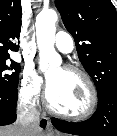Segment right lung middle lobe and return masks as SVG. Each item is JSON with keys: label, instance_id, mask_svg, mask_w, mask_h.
Listing matches in <instances>:
<instances>
[{"label": "right lung middle lobe", "instance_id": "1", "mask_svg": "<svg viewBox=\"0 0 117 136\" xmlns=\"http://www.w3.org/2000/svg\"><path fill=\"white\" fill-rule=\"evenodd\" d=\"M9 56L0 57V89H17L20 65Z\"/></svg>", "mask_w": 117, "mask_h": 136}]
</instances>
